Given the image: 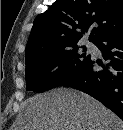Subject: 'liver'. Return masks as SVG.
Listing matches in <instances>:
<instances>
[{
    "mask_svg": "<svg viewBox=\"0 0 123 130\" xmlns=\"http://www.w3.org/2000/svg\"><path fill=\"white\" fill-rule=\"evenodd\" d=\"M12 130H123V121L83 92L56 88L25 100Z\"/></svg>",
    "mask_w": 123,
    "mask_h": 130,
    "instance_id": "liver-1",
    "label": "liver"
}]
</instances>
